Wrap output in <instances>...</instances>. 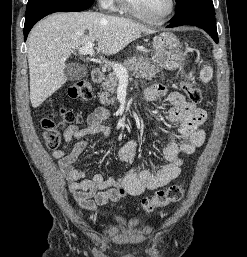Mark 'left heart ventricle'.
<instances>
[{"instance_id": "1", "label": "left heart ventricle", "mask_w": 247, "mask_h": 257, "mask_svg": "<svg viewBox=\"0 0 247 257\" xmlns=\"http://www.w3.org/2000/svg\"><path fill=\"white\" fill-rule=\"evenodd\" d=\"M136 8L143 14L159 18L169 9L170 0H132Z\"/></svg>"}]
</instances>
